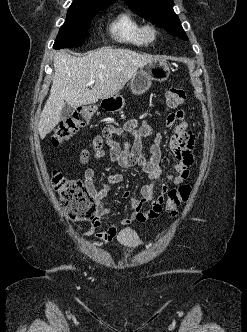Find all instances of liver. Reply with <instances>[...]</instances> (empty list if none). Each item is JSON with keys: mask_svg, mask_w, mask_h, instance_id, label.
Returning <instances> with one entry per match:
<instances>
[{"mask_svg": "<svg viewBox=\"0 0 247 332\" xmlns=\"http://www.w3.org/2000/svg\"><path fill=\"white\" fill-rule=\"evenodd\" d=\"M152 55L129 49L104 47L82 57L61 50L54 55V76L50 95L39 121V135L44 139L61 120L65 103L76 108L114 97ZM95 80L90 89L86 84Z\"/></svg>", "mask_w": 247, "mask_h": 332, "instance_id": "1", "label": "liver"}]
</instances>
